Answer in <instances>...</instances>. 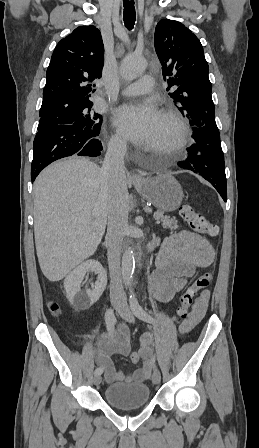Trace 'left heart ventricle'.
Listing matches in <instances>:
<instances>
[{
    "mask_svg": "<svg viewBox=\"0 0 259 448\" xmlns=\"http://www.w3.org/2000/svg\"><path fill=\"white\" fill-rule=\"evenodd\" d=\"M148 135L150 146L162 151L173 140L175 128L171 121L160 117L159 123Z\"/></svg>",
    "mask_w": 259,
    "mask_h": 448,
    "instance_id": "obj_1",
    "label": "left heart ventricle"
}]
</instances>
